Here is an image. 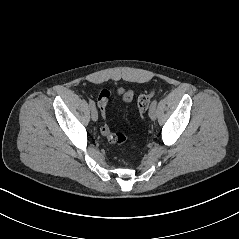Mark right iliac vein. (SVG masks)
<instances>
[{"label":"right iliac vein","instance_id":"right-iliac-vein-1","mask_svg":"<svg viewBox=\"0 0 239 239\" xmlns=\"http://www.w3.org/2000/svg\"><path fill=\"white\" fill-rule=\"evenodd\" d=\"M91 118L93 121L98 120V112H97L96 108H91Z\"/></svg>","mask_w":239,"mask_h":239}]
</instances>
